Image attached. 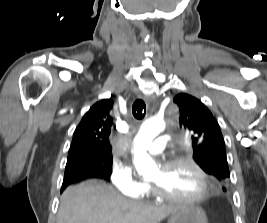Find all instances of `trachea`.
I'll list each match as a JSON object with an SVG mask.
<instances>
[{
  "instance_id": "trachea-1",
  "label": "trachea",
  "mask_w": 267,
  "mask_h": 223,
  "mask_svg": "<svg viewBox=\"0 0 267 223\" xmlns=\"http://www.w3.org/2000/svg\"><path fill=\"white\" fill-rule=\"evenodd\" d=\"M146 113V105L145 102L141 99H137L133 105H132V114L133 116L138 119L141 120L144 118Z\"/></svg>"
}]
</instances>
